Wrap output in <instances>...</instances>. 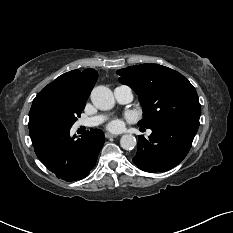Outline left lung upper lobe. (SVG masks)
Returning a JSON list of instances; mask_svg holds the SVG:
<instances>
[{
    "mask_svg": "<svg viewBox=\"0 0 233 233\" xmlns=\"http://www.w3.org/2000/svg\"><path fill=\"white\" fill-rule=\"evenodd\" d=\"M119 81L130 86L143 106L139 126L151 128L168 122L199 126L201 106L193 85L179 72L158 64L130 66L117 71Z\"/></svg>",
    "mask_w": 233,
    "mask_h": 233,
    "instance_id": "1",
    "label": "left lung upper lobe"
}]
</instances>
